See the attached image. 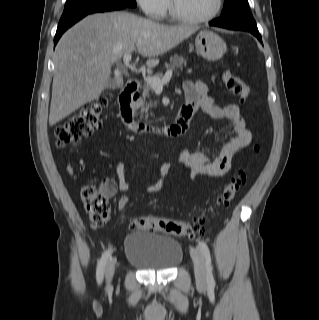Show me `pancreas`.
<instances>
[{
	"label": "pancreas",
	"instance_id": "obj_1",
	"mask_svg": "<svg viewBox=\"0 0 319 320\" xmlns=\"http://www.w3.org/2000/svg\"><path fill=\"white\" fill-rule=\"evenodd\" d=\"M185 60L182 56L174 55L170 58L169 63L165 64V67L168 69H182ZM155 78H161V73H156L154 75ZM153 93V88L149 84H145L143 86L142 96L136 102V109H140L141 116L143 113L145 114V118L148 119L150 113L149 109L156 106V101L151 99V94Z\"/></svg>",
	"mask_w": 319,
	"mask_h": 320
}]
</instances>
